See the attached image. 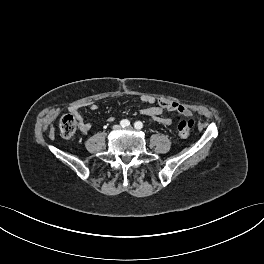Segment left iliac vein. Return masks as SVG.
<instances>
[{"label": "left iliac vein", "mask_w": 264, "mask_h": 264, "mask_svg": "<svg viewBox=\"0 0 264 264\" xmlns=\"http://www.w3.org/2000/svg\"><path fill=\"white\" fill-rule=\"evenodd\" d=\"M128 129H129V130H132L133 128L130 126V127H128Z\"/></svg>", "instance_id": "1"}]
</instances>
